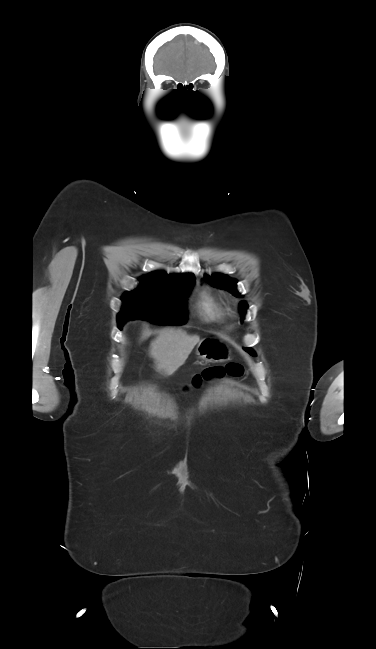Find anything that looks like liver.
I'll list each match as a JSON object with an SVG mask.
<instances>
[{
  "label": "liver",
  "mask_w": 376,
  "mask_h": 649,
  "mask_svg": "<svg viewBox=\"0 0 376 649\" xmlns=\"http://www.w3.org/2000/svg\"><path fill=\"white\" fill-rule=\"evenodd\" d=\"M199 342L197 335L190 336L183 330L164 329L151 342L149 354L154 359L156 370L170 376L185 363Z\"/></svg>",
  "instance_id": "6515ba94"
}]
</instances>
